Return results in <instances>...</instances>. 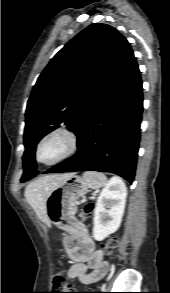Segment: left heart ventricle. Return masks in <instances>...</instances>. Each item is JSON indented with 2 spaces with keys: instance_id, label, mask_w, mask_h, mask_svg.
Segmentation results:
<instances>
[{
  "instance_id": "b2bd125f",
  "label": "left heart ventricle",
  "mask_w": 170,
  "mask_h": 293,
  "mask_svg": "<svg viewBox=\"0 0 170 293\" xmlns=\"http://www.w3.org/2000/svg\"><path fill=\"white\" fill-rule=\"evenodd\" d=\"M67 142L63 135L57 134L48 139L41 147L39 156L43 161L59 157L66 149Z\"/></svg>"
}]
</instances>
